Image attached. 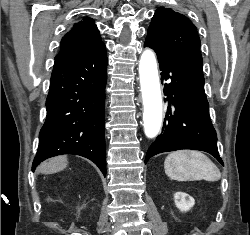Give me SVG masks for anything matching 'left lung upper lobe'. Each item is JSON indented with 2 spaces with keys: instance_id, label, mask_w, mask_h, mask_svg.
<instances>
[{
  "instance_id": "5c2ea615",
  "label": "left lung upper lobe",
  "mask_w": 250,
  "mask_h": 235,
  "mask_svg": "<svg viewBox=\"0 0 250 235\" xmlns=\"http://www.w3.org/2000/svg\"><path fill=\"white\" fill-rule=\"evenodd\" d=\"M146 40L159 49L200 47L195 25L184 15L164 7L155 11Z\"/></svg>"
}]
</instances>
